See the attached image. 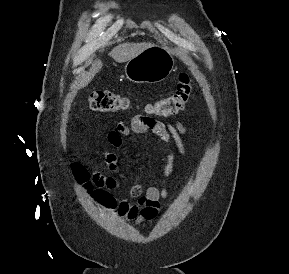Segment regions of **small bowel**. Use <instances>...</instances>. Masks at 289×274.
Segmentation results:
<instances>
[{"mask_svg": "<svg viewBox=\"0 0 289 274\" xmlns=\"http://www.w3.org/2000/svg\"><path fill=\"white\" fill-rule=\"evenodd\" d=\"M189 133L181 122L174 125L155 120L144 115H136L131 122L120 121L115 130L107 134V141L116 148L124 147V137L132 134L143 135L153 134L157 136L167 147L168 153L165 157L163 168V177L167 178L174 169L175 155L171 150L174 145L181 155L185 154V146L181 136ZM105 163L108 166L111 175H105L100 171L92 174L93 184L100 189L115 191L119 188V180L114 174L119 172L118 157L110 151L102 152ZM169 197V192L164 184L160 187H144L142 184H134L126 191V197L122 198L117 205L118 214L138 225L144 221L153 220L162 207L161 199Z\"/></svg>", "mask_w": 289, "mask_h": 274, "instance_id": "c3829d8e", "label": "small bowel"}]
</instances>
